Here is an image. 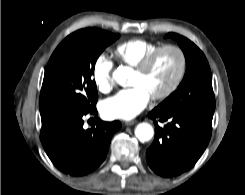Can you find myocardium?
<instances>
[{
	"label": "myocardium",
	"instance_id": "myocardium-1",
	"mask_svg": "<svg viewBox=\"0 0 245 195\" xmlns=\"http://www.w3.org/2000/svg\"><path fill=\"white\" fill-rule=\"evenodd\" d=\"M166 50H173L177 53L178 59H179V66L178 71L173 79V81L170 83V85L163 90L160 93L152 95V99L154 100H163L168 98L174 91L178 88L180 85L185 71H186V55L183 51V49L174 44H166L158 47L156 50L151 52L148 56H146L136 67L135 71L138 73H145L154 63V61L157 59V57Z\"/></svg>",
	"mask_w": 245,
	"mask_h": 195
}]
</instances>
